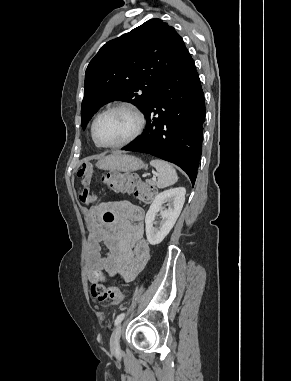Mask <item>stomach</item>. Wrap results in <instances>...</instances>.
<instances>
[{
  "mask_svg": "<svg viewBox=\"0 0 291 381\" xmlns=\"http://www.w3.org/2000/svg\"><path fill=\"white\" fill-rule=\"evenodd\" d=\"M96 166L103 170L129 173L145 167V164L133 155L114 153L99 159Z\"/></svg>",
  "mask_w": 291,
  "mask_h": 381,
  "instance_id": "stomach-1",
  "label": "stomach"
}]
</instances>
